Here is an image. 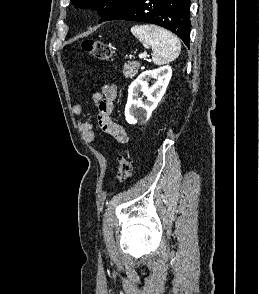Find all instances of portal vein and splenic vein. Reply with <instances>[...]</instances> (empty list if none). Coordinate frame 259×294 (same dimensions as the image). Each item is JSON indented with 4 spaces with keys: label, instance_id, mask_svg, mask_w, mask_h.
I'll use <instances>...</instances> for the list:
<instances>
[{
    "label": "portal vein and splenic vein",
    "instance_id": "portal-vein-and-splenic-vein-1",
    "mask_svg": "<svg viewBox=\"0 0 259 294\" xmlns=\"http://www.w3.org/2000/svg\"><path fill=\"white\" fill-rule=\"evenodd\" d=\"M146 56H147L146 54H139V58H140V59H145Z\"/></svg>",
    "mask_w": 259,
    "mask_h": 294
}]
</instances>
